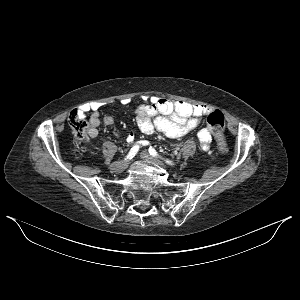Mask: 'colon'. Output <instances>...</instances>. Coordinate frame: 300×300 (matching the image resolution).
Masks as SVG:
<instances>
[{"label":"colon","mask_w":300,"mask_h":300,"mask_svg":"<svg viewBox=\"0 0 300 300\" xmlns=\"http://www.w3.org/2000/svg\"><path fill=\"white\" fill-rule=\"evenodd\" d=\"M68 122L71 128L75 131L78 137L85 136L86 124L80 115L79 111H73L68 117ZM225 126V116L220 110H214L207 117V127L217 140V149L221 154L227 152V144L223 137Z\"/></svg>","instance_id":"5ec220e1"}]
</instances>
